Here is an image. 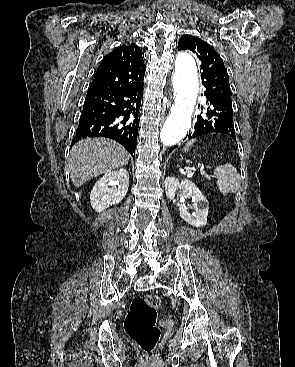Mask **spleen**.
<instances>
[{
	"mask_svg": "<svg viewBox=\"0 0 295 367\" xmlns=\"http://www.w3.org/2000/svg\"><path fill=\"white\" fill-rule=\"evenodd\" d=\"M195 141L196 140H192L188 142L183 148V151L188 152ZM214 174L217 177L218 189L222 194L225 195L229 192H236L240 188V175L231 163L218 166L214 170Z\"/></svg>",
	"mask_w": 295,
	"mask_h": 367,
	"instance_id": "3e777b00",
	"label": "spleen"
}]
</instances>
